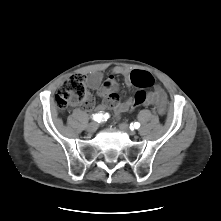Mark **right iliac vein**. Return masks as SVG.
<instances>
[{"instance_id":"right-iliac-vein-1","label":"right iliac vein","mask_w":221,"mask_h":221,"mask_svg":"<svg viewBox=\"0 0 221 221\" xmlns=\"http://www.w3.org/2000/svg\"><path fill=\"white\" fill-rule=\"evenodd\" d=\"M98 129V124L96 122H91L88 126H87V131L89 133H94L96 130Z\"/></svg>"}]
</instances>
